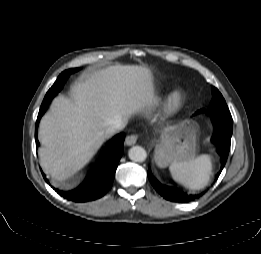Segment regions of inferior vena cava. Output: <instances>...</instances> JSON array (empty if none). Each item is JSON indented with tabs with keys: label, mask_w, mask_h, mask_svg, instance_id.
<instances>
[{
	"label": "inferior vena cava",
	"mask_w": 261,
	"mask_h": 254,
	"mask_svg": "<svg viewBox=\"0 0 261 254\" xmlns=\"http://www.w3.org/2000/svg\"><path fill=\"white\" fill-rule=\"evenodd\" d=\"M126 122L119 120V121H114L108 128L109 133H114L117 131H121L125 128Z\"/></svg>",
	"instance_id": "602c4592"
}]
</instances>
